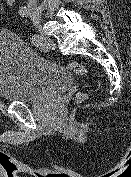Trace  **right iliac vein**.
<instances>
[{
  "instance_id": "1",
  "label": "right iliac vein",
  "mask_w": 131,
  "mask_h": 177,
  "mask_svg": "<svg viewBox=\"0 0 131 177\" xmlns=\"http://www.w3.org/2000/svg\"><path fill=\"white\" fill-rule=\"evenodd\" d=\"M29 15L31 17L33 24L36 26V28L39 31L42 41L43 42L50 41V39L46 36V33L42 28L41 19H40V16L38 15L37 11L35 9L31 8V9H29Z\"/></svg>"
}]
</instances>
